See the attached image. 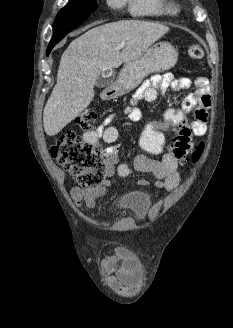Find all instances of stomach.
<instances>
[{
  "label": "stomach",
  "mask_w": 233,
  "mask_h": 328,
  "mask_svg": "<svg viewBox=\"0 0 233 328\" xmlns=\"http://www.w3.org/2000/svg\"><path fill=\"white\" fill-rule=\"evenodd\" d=\"M177 58L178 53L170 43L160 42L153 45L140 58L124 65L115 91L110 97H118L133 90L150 73L163 72L172 68Z\"/></svg>",
  "instance_id": "1"
}]
</instances>
